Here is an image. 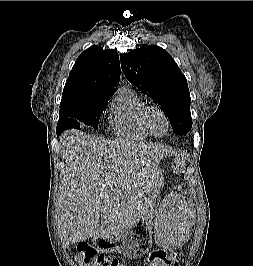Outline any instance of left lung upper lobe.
Segmentation results:
<instances>
[{
  "mask_svg": "<svg viewBox=\"0 0 253 266\" xmlns=\"http://www.w3.org/2000/svg\"><path fill=\"white\" fill-rule=\"evenodd\" d=\"M121 68L131 84L161 105L176 134L190 130L187 80L168 52L155 45L141 47L121 55Z\"/></svg>",
  "mask_w": 253,
  "mask_h": 266,
  "instance_id": "5c2ea615",
  "label": "left lung upper lobe"
}]
</instances>
